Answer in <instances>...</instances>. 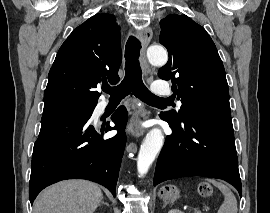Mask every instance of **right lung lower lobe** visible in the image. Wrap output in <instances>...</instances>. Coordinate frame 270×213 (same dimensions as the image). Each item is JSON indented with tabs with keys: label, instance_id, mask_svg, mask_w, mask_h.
I'll list each match as a JSON object with an SVG mask.
<instances>
[{
	"label": "right lung lower lobe",
	"instance_id": "98d812e1",
	"mask_svg": "<svg viewBox=\"0 0 270 213\" xmlns=\"http://www.w3.org/2000/svg\"><path fill=\"white\" fill-rule=\"evenodd\" d=\"M91 116L43 115L39 137L34 144L29 199L33 203L45 187L66 179H87L108 188L115 197L125 147L127 110L120 107L111 117L115 127L90 123ZM118 134L103 139L104 132Z\"/></svg>",
	"mask_w": 270,
	"mask_h": 213
}]
</instances>
